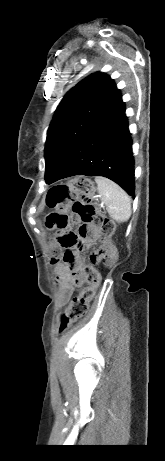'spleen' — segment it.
Here are the masks:
<instances>
[{
	"label": "spleen",
	"mask_w": 165,
	"mask_h": 461,
	"mask_svg": "<svg viewBox=\"0 0 165 461\" xmlns=\"http://www.w3.org/2000/svg\"><path fill=\"white\" fill-rule=\"evenodd\" d=\"M95 182L102 202L106 205L109 216L119 222H126L131 216V198L115 182L96 176Z\"/></svg>",
	"instance_id": "3e777b00"
}]
</instances>
